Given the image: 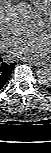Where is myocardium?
<instances>
[{
  "label": "myocardium",
  "instance_id": "1",
  "mask_svg": "<svg viewBox=\"0 0 51 153\" xmlns=\"http://www.w3.org/2000/svg\"><path fill=\"white\" fill-rule=\"evenodd\" d=\"M44 20L47 23V26L51 28V10L44 15Z\"/></svg>",
  "mask_w": 51,
  "mask_h": 153
}]
</instances>
